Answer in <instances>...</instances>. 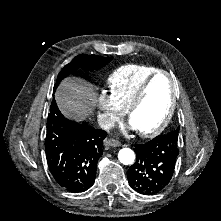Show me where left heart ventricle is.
Instances as JSON below:
<instances>
[{
  "mask_svg": "<svg viewBox=\"0 0 221 221\" xmlns=\"http://www.w3.org/2000/svg\"><path fill=\"white\" fill-rule=\"evenodd\" d=\"M170 101V81L167 76H159L151 84L142 105L133 113L132 126L138 131L154 129L165 118Z\"/></svg>",
  "mask_w": 221,
  "mask_h": 221,
  "instance_id": "obj_1",
  "label": "left heart ventricle"
}]
</instances>
